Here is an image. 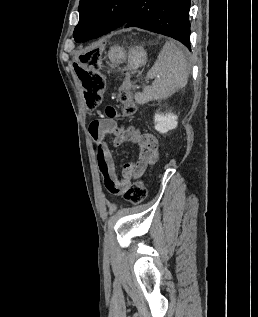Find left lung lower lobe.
I'll list each match as a JSON object with an SVG mask.
<instances>
[{"label": "left lung lower lobe", "instance_id": "0a47b994", "mask_svg": "<svg viewBox=\"0 0 258 317\" xmlns=\"http://www.w3.org/2000/svg\"><path fill=\"white\" fill-rule=\"evenodd\" d=\"M191 0H134L125 28L138 27L172 37L190 47L189 10ZM114 29L99 27L79 42L98 38Z\"/></svg>", "mask_w": 258, "mask_h": 317}]
</instances>
